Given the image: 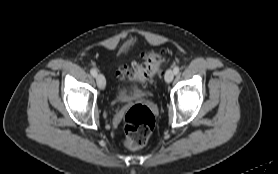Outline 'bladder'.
I'll return each instance as SVG.
<instances>
[{
  "mask_svg": "<svg viewBox=\"0 0 278 174\" xmlns=\"http://www.w3.org/2000/svg\"><path fill=\"white\" fill-rule=\"evenodd\" d=\"M145 95V91L138 86H133L132 88L119 87L116 91L117 101H127L132 98H138Z\"/></svg>",
  "mask_w": 278,
  "mask_h": 174,
  "instance_id": "bladder-1",
  "label": "bladder"
}]
</instances>
